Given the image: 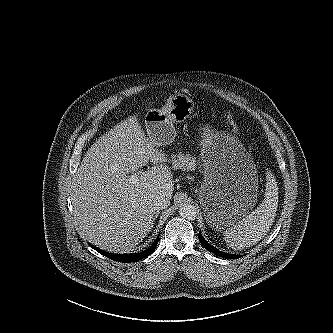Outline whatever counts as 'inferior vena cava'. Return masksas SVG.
Masks as SVG:
<instances>
[{
  "mask_svg": "<svg viewBox=\"0 0 333 333\" xmlns=\"http://www.w3.org/2000/svg\"><path fill=\"white\" fill-rule=\"evenodd\" d=\"M170 205V200L165 194H157L153 198V208L154 210H162Z\"/></svg>",
  "mask_w": 333,
  "mask_h": 333,
  "instance_id": "1",
  "label": "inferior vena cava"
}]
</instances>
